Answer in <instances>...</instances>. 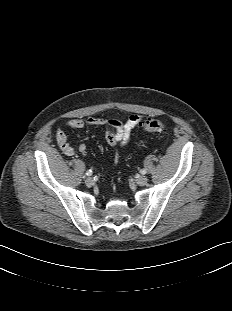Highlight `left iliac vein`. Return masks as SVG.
Here are the masks:
<instances>
[{"instance_id": "1", "label": "left iliac vein", "mask_w": 232, "mask_h": 311, "mask_svg": "<svg viewBox=\"0 0 232 311\" xmlns=\"http://www.w3.org/2000/svg\"><path fill=\"white\" fill-rule=\"evenodd\" d=\"M147 181H148V178H147L146 176H144V175L139 176V177L136 179V183H137L138 185H140V186L145 185V184L147 183Z\"/></svg>"}]
</instances>
